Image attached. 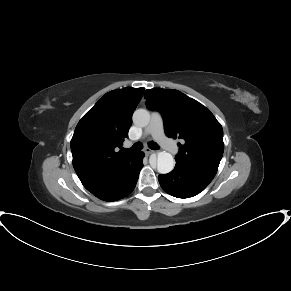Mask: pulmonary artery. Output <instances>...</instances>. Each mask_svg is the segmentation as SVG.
<instances>
[{
    "label": "pulmonary artery",
    "instance_id": "obj_1",
    "mask_svg": "<svg viewBox=\"0 0 291 291\" xmlns=\"http://www.w3.org/2000/svg\"><path fill=\"white\" fill-rule=\"evenodd\" d=\"M150 136L169 151H175L176 145L165 135L164 120L160 113L152 112L149 125L145 128L142 138Z\"/></svg>",
    "mask_w": 291,
    "mask_h": 291
}]
</instances>
